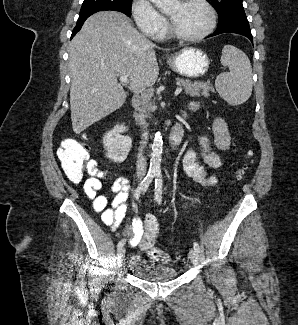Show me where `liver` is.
Masks as SVG:
<instances>
[{
	"mask_svg": "<svg viewBox=\"0 0 298 325\" xmlns=\"http://www.w3.org/2000/svg\"><path fill=\"white\" fill-rule=\"evenodd\" d=\"M160 48L117 10H101L85 20L69 44L70 110L75 134L120 108L126 100L120 74L132 92L155 84ZM168 50V48H162Z\"/></svg>",
	"mask_w": 298,
	"mask_h": 325,
	"instance_id": "liver-1",
	"label": "liver"
}]
</instances>
